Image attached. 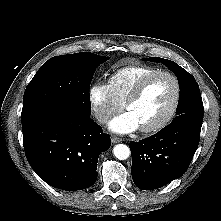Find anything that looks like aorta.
Returning <instances> with one entry per match:
<instances>
[{
	"mask_svg": "<svg viewBox=\"0 0 221 221\" xmlns=\"http://www.w3.org/2000/svg\"><path fill=\"white\" fill-rule=\"evenodd\" d=\"M114 156L119 160H125L130 156V149L125 144H117L113 148Z\"/></svg>",
	"mask_w": 221,
	"mask_h": 221,
	"instance_id": "obj_1",
	"label": "aorta"
}]
</instances>
